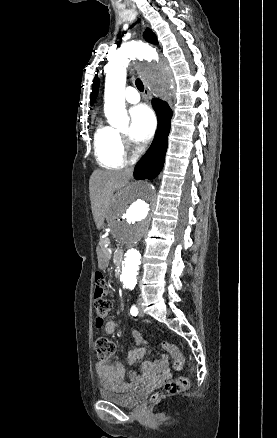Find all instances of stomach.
<instances>
[{
	"label": "stomach",
	"mask_w": 277,
	"mask_h": 438,
	"mask_svg": "<svg viewBox=\"0 0 277 438\" xmlns=\"http://www.w3.org/2000/svg\"><path fill=\"white\" fill-rule=\"evenodd\" d=\"M98 264L100 268H105L108 265V257H106L101 251L98 252Z\"/></svg>",
	"instance_id": "stomach-1"
}]
</instances>
